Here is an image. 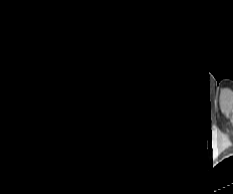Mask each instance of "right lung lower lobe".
<instances>
[{"label": "right lung lower lobe", "instance_id": "right-lung-lower-lobe-1", "mask_svg": "<svg viewBox=\"0 0 233 194\" xmlns=\"http://www.w3.org/2000/svg\"><path fill=\"white\" fill-rule=\"evenodd\" d=\"M91 157H92V155H90L88 159H91Z\"/></svg>", "mask_w": 233, "mask_h": 194}]
</instances>
